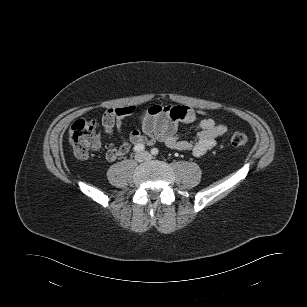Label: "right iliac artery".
<instances>
[{
  "label": "right iliac artery",
  "instance_id": "1",
  "mask_svg": "<svg viewBox=\"0 0 307 307\" xmlns=\"http://www.w3.org/2000/svg\"><path fill=\"white\" fill-rule=\"evenodd\" d=\"M144 148H145V147H144L143 144H137V145L134 146L133 149H134L135 152H141V151L144 150Z\"/></svg>",
  "mask_w": 307,
  "mask_h": 307
}]
</instances>
